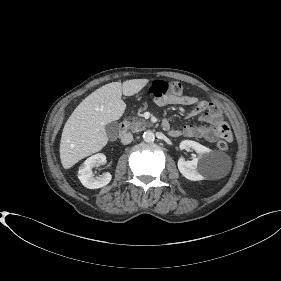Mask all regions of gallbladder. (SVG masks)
<instances>
[{
	"label": "gallbladder",
	"instance_id": "obj_1",
	"mask_svg": "<svg viewBox=\"0 0 281 281\" xmlns=\"http://www.w3.org/2000/svg\"><path fill=\"white\" fill-rule=\"evenodd\" d=\"M105 129H106L107 135L112 136V135L117 134L118 125L116 123L112 122V123H109L108 125H106Z\"/></svg>",
	"mask_w": 281,
	"mask_h": 281
}]
</instances>
